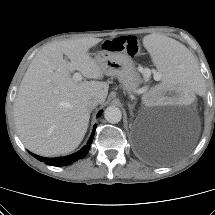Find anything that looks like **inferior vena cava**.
Here are the masks:
<instances>
[{"label": "inferior vena cava", "instance_id": "1", "mask_svg": "<svg viewBox=\"0 0 215 215\" xmlns=\"http://www.w3.org/2000/svg\"><path fill=\"white\" fill-rule=\"evenodd\" d=\"M99 103L100 100L98 98H92L87 102V108L93 110Z\"/></svg>", "mask_w": 215, "mask_h": 215}]
</instances>
